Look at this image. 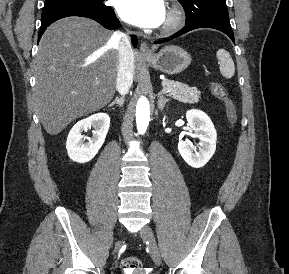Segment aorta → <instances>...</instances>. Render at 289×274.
I'll return each instance as SVG.
<instances>
[{"instance_id":"762f6f07","label":"aorta","mask_w":289,"mask_h":274,"mask_svg":"<svg viewBox=\"0 0 289 274\" xmlns=\"http://www.w3.org/2000/svg\"><path fill=\"white\" fill-rule=\"evenodd\" d=\"M150 120V105L146 97L141 96L136 106V124L140 134H144L147 130Z\"/></svg>"}]
</instances>
